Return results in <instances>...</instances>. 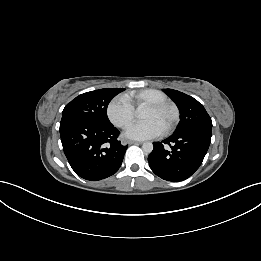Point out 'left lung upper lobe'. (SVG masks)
<instances>
[{"label":"left lung upper lobe","instance_id":"5c2ea615","mask_svg":"<svg viewBox=\"0 0 261 261\" xmlns=\"http://www.w3.org/2000/svg\"><path fill=\"white\" fill-rule=\"evenodd\" d=\"M180 111V123L175 132L197 127H212V121L205 108L195 98L173 89H163Z\"/></svg>","mask_w":261,"mask_h":261}]
</instances>
